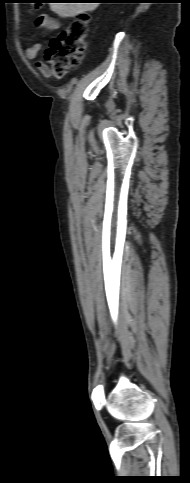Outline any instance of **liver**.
I'll use <instances>...</instances> for the list:
<instances>
[{
	"instance_id": "obj_1",
	"label": "liver",
	"mask_w": 190,
	"mask_h": 483,
	"mask_svg": "<svg viewBox=\"0 0 190 483\" xmlns=\"http://www.w3.org/2000/svg\"><path fill=\"white\" fill-rule=\"evenodd\" d=\"M99 3H50L52 11L60 17H74L86 11H92L98 7Z\"/></svg>"
}]
</instances>
